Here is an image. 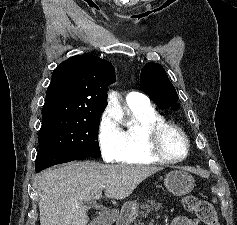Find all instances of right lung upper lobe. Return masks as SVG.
I'll list each match as a JSON object with an SVG mask.
<instances>
[{
  "label": "right lung upper lobe",
  "instance_id": "1",
  "mask_svg": "<svg viewBox=\"0 0 237 225\" xmlns=\"http://www.w3.org/2000/svg\"><path fill=\"white\" fill-rule=\"evenodd\" d=\"M114 81L115 69L110 62L91 54L70 57L53 71L42 120L101 115L106 87Z\"/></svg>",
  "mask_w": 237,
  "mask_h": 225
}]
</instances>
